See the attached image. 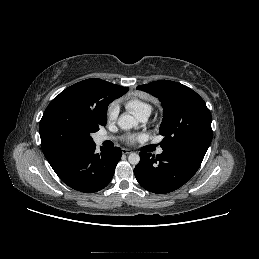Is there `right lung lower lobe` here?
I'll return each instance as SVG.
<instances>
[{"instance_id": "98d812e1", "label": "right lung lower lobe", "mask_w": 259, "mask_h": 259, "mask_svg": "<svg viewBox=\"0 0 259 259\" xmlns=\"http://www.w3.org/2000/svg\"><path fill=\"white\" fill-rule=\"evenodd\" d=\"M95 149V143L81 148L63 149L57 151L48 162L69 187L86 193L97 192L112 180L122 152L119 147H101V153H96Z\"/></svg>"}]
</instances>
